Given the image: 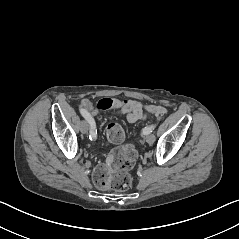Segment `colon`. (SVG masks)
<instances>
[{
	"label": "colon",
	"instance_id": "obj_1",
	"mask_svg": "<svg viewBox=\"0 0 239 239\" xmlns=\"http://www.w3.org/2000/svg\"><path fill=\"white\" fill-rule=\"evenodd\" d=\"M113 99L103 98L99 100L96 107L98 110H107L114 107ZM146 111L155 115H165L166 108L160 105H147ZM106 136L113 144H119L124 140L125 133L118 123H109L106 128ZM136 158L135 150L132 146L125 145L116 149L109 156L106 163L99 165L93 173L94 183L103 189L123 192L132 185V168Z\"/></svg>",
	"mask_w": 239,
	"mask_h": 239
}]
</instances>
